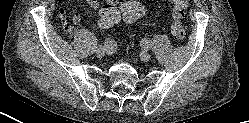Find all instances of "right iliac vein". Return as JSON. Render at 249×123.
I'll return each instance as SVG.
<instances>
[{"label":"right iliac vein","instance_id":"obj_1","mask_svg":"<svg viewBox=\"0 0 249 123\" xmlns=\"http://www.w3.org/2000/svg\"><path fill=\"white\" fill-rule=\"evenodd\" d=\"M106 51H107V48L105 46H99L96 50V55L98 57H102Z\"/></svg>","mask_w":249,"mask_h":123}]
</instances>
